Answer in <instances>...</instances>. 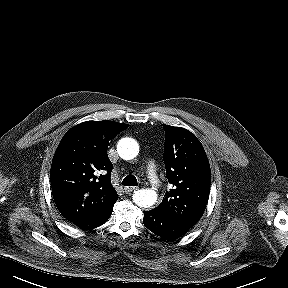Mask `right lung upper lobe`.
<instances>
[{"label":"right lung upper lobe","instance_id":"right-lung-upper-lobe-1","mask_svg":"<svg viewBox=\"0 0 288 288\" xmlns=\"http://www.w3.org/2000/svg\"><path fill=\"white\" fill-rule=\"evenodd\" d=\"M127 124L86 121L62 138L51 165V188L60 213L76 223L96 217L118 200L111 185L108 143Z\"/></svg>","mask_w":288,"mask_h":288}]
</instances>
